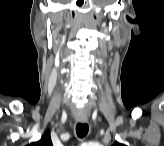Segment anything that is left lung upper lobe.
<instances>
[{
    "label": "left lung upper lobe",
    "mask_w": 164,
    "mask_h": 146,
    "mask_svg": "<svg viewBox=\"0 0 164 146\" xmlns=\"http://www.w3.org/2000/svg\"><path fill=\"white\" fill-rule=\"evenodd\" d=\"M114 146H124V145H122V144H120V143H118L117 141L114 143Z\"/></svg>",
    "instance_id": "left-lung-upper-lobe-1"
}]
</instances>
